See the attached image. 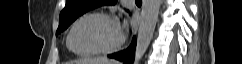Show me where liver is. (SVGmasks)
Instances as JSON below:
<instances>
[{
  "label": "liver",
  "instance_id": "1",
  "mask_svg": "<svg viewBox=\"0 0 242 64\" xmlns=\"http://www.w3.org/2000/svg\"><path fill=\"white\" fill-rule=\"evenodd\" d=\"M80 62H84V63H89V64H118L117 61L114 60H108L105 57H98V58H93L90 60H83Z\"/></svg>",
  "mask_w": 242,
  "mask_h": 64
}]
</instances>
